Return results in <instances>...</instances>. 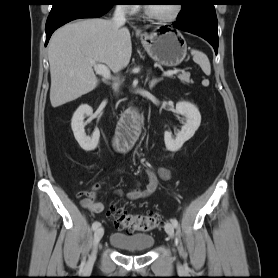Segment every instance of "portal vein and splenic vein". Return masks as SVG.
<instances>
[{
	"label": "portal vein and splenic vein",
	"mask_w": 278,
	"mask_h": 278,
	"mask_svg": "<svg viewBox=\"0 0 278 278\" xmlns=\"http://www.w3.org/2000/svg\"><path fill=\"white\" fill-rule=\"evenodd\" d=\"M90 64L94 67V70L96 71L97 74L102 75L105 79H110L111 78V73L108 67L104 64H98L94 61H90ZM179 69H174V70H169L166 71L163 76L169 77L174 74L179 73Z\"/></svg>",
	"instance_id": "obj_1"
}]
</instances>
